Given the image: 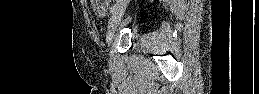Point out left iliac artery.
<instances>
[{
	"label": "left iliac artery",
	"mask_w": 259,
	"mask_h": 94,
	"mask_svg": "<svg viewBox=\"0 0 259 94\" xmlns=\"http://www.w3.org/2000/svg\"><path fill=\"white\" fill-rule=\"evenodd\" d=\"M119 5L118 3L114 4L111 8H110V13L113 14L117 9H118Z\"/></svg>",
	"instance_id": "obj_1"
}]
</instances>
